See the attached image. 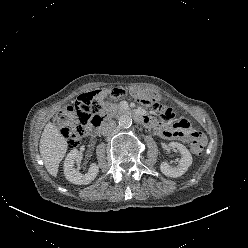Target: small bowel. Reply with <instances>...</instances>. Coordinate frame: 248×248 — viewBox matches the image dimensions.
Instances as JSON below:
<instances>
[{"label": "small bowel", "mask_w": 248, "mask_h": 248, "mask_svg": "<svg viewBox=\"0 0 248 248\" xmlns=\"http://www.w3.org/2000/svg\"><path fill=\"white\" fill-rule=\"evenodd\" d=\"M154 128L158 131L162 138L167 140L188 142L195 137L204 138L203 134L193 130L190 123L185 119H180L173 125H164L159 122H155Z\"/></svg>", "instance_id": "obj_1"}]
</instances>
